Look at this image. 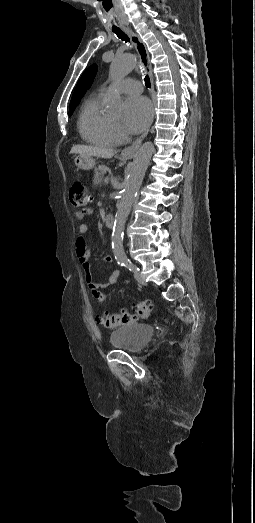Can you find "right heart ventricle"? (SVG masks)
<instances>
[{"instance_id": "right-heart-ventricle-1", "label": "right heart ventricle", "mask_w": 255, "mask_h": 523, "mask_svg": "<svg viewBox=\"0 0 255 523\" xmlns=\"http://www.w3.org/2000/svg\"><path fill=\"white\" fill-rule=\"evenodd\" d=\"M106 94L99 92L82 106L78 128L83 140L96 146H112L118 136L111 117L102 111Z\"/></svg>"}]
</instances>
